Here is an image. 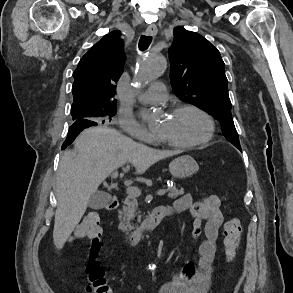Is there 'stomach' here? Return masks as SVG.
<instances>
[{"mask_svg":"<svg viewBox=\"0 0 293 293\" xmlns=\"http://www.w3.org/2000/svg\"><path fill=\"white\" fill-rule=\"evenodd\" d=\"M199 169L196 160L189 156L183 155L174 159L169 164V171L174 178L185 179L195 174Z\"/></svg>","mask_w":293,"mask_h":293,"instance_id":"0dacf381","label":"stomach"}]
</instances>
